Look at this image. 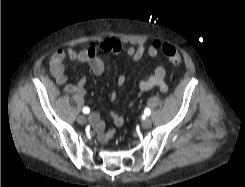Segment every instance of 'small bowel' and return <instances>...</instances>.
Listing matches in <instances>:
<instances>
[{"label":"small bowel","instance_id":"c3829d8e","mask_svg":"<svg viewBox=\"0 0 245 187\" xmlns=\"http://www.w3.org/2000/svg\"><path fill=\"white\" fill-rule=\"evenodd\" d=\"M164 43L154 41L148 46L140 44L137 47H129L126 49V54L131 62H136L144 56L154 57L161 51V46ZM122 45L118 40L112 37L105 38L98 46H90L83 49H74L68 47L66 49L56 50L49 59L50 72L60 86V89L67 94L83 97L86 94V76H82L76 83H68V78L65 74V62L67 60L79 61L87 63L96 76H101L105 71V65L99 57V53H120L122 52ZM166 71L163 66H156L153 72L141 80L139 83V92L136 97L129 102V106H133L135 101L145 92L157 89L162 93L168 92V85L165 82ZM126 83V76L119 75L117 78L118 86L122 87ZM111 100L116 98V93L112 92L110 95ZM110 116L116 127L122 126L124 118L118 112L112 110ZM90 123L97 132L98 140L101 143L107 142L114 134V129L105 130V125L102 119L97 114L90 116Z\"/></svg>","mask_w":245,"mask_h":187}]
</instances>
